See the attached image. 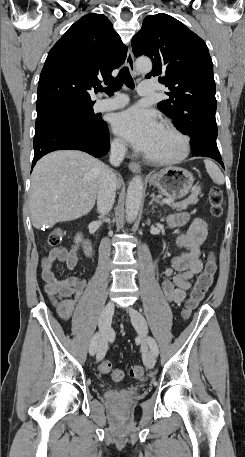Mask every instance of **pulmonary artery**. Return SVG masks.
I'll use <instances>...</instances> for the list:
<instances>
[{
	"label": "pulmonary artery",
	"instance_id": "1",
	"mask_svg": "<svg viewBox=\"0 0 245 457\" xmlns=\"http://www.w3.org/2000/svg\"><path fill=\"white\" fill-rule=\"evenodd\" d=\"M137 93L138 95H156L157 88L156 86H154V81L139 80ZM127 102L128 99L124 95H118L116 97L109 99H101L95 103L94 110L96 112L114 110L124 106L125 104H127Z\"/></svg>",
	"mask_w": 245,
	"mask_h": 457
}]
</instances>
